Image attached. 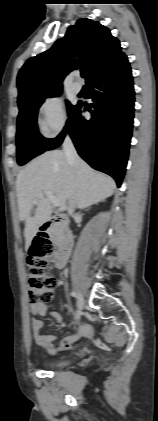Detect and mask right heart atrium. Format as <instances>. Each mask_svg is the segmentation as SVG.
Masks as SVG:
<instances>
[{"instance_id":"1","label":"right heart atrium","mask_w":158,"mask_h":421,"mask_svg":"<svg viewBox=\"0 0 158 421\" xmlns=\"http://www.w3.org/2000/svg\"><path fill=\"white\" fill-rule=\"evenodd\" d=\"M37 124L41 134L46 138H54L64 131L67 114L61 99L48 96L41 102L37 110Z\"/></svg>"}]
</instances>
